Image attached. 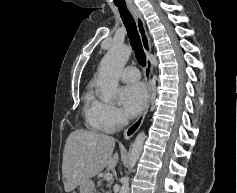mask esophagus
<instances>
[{
  "instance_id": "obj_1",
  "label": "esophagus",
  "mask_w": 237,
  "mask_h": 193,
  "mask_svg": "<svg viewBox=\"0 0 237 193\" xmlns=\"http://www.w3.org/2000/svg\"><path fill=\"white\" fill-rule=\"evenodd\" d=\"M129 10L131 14L133 15L137 29L141 38V42L143 45V48L146 52V54H149L151 52V46H150V39L148 36V32L146 29L145 21L140 13V11L135 7V6H130ZM151 73H152V63L150 59H147V68H146V73H145V79H146V84H147V90H148V95H147V101L145 104L144 109L142 110L141 114L139 117L136 119L134 123H132L124 132V139L129 140L141 127L145 116L148 112L149 106H150V101H151V96H152V82H151Z\"/></svg>"
}]
</instances>
